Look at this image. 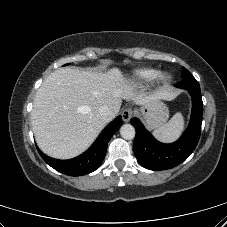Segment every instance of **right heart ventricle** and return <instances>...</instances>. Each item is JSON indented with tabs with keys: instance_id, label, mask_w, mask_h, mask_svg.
<instances>
[{
	"instance_id": "1",
	"label": "right heart ventricle",
	"mask_w": 227,
	"mask_h": 227,
	"mask_svg": "<svg viewBox=\"0 0 227 227\" xmlns=\"http://www.w3.org/2000/svg\"><path fill=\"white\" fill-rule=\"evenodd\" d=\"M160 72L156 69L142 68L137 69L132 74V80L136 83H148L159 76Z\"/></svg>"
}]
</instances>
